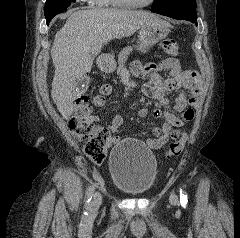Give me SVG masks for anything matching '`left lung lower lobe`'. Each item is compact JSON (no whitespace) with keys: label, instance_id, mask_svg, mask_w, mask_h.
Wrapping results in <instances>:
<instances>
[{"label":"left lung lower lobe","instance_id":"0a47b994","mask_svg":"<svg viewBox=\"0 0 240 238\" xmlns=\"http://www.w3.org/2000/svg\"><path fill=\"white\" fill-rule=\"evenodd\" d=\"M152 11L174 19L187 20L197 25L196 9L168 7L163 9H152Z\"/></svg>","mask_w":240,"mask_h":238}]
</instances>
